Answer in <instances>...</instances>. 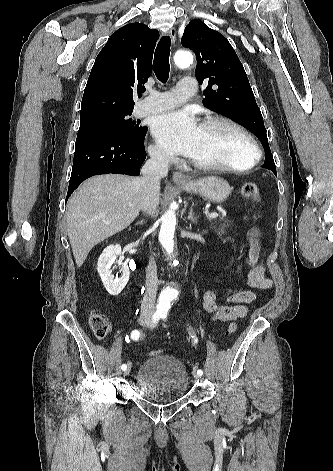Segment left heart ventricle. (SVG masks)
Returning a JSON list of instances; mask_svg holds the SVG:
<instances>
[{
	"instance_id": "1",
	"label": "left heart ventricle",
	"mask_w": 333,
	"mask_h": 471,
	"mask_svg": "<svg viewBox=\"0 0 333 471\" xmlns=\"http://www.w3.org/2000/svg\"><path fill=\"white\" fill-rule=\"evenodd\" d=\"M190 157L206 164L243 165L250 159L251 150L238 131L226 124L216 123L199 126Z\"/></svg>"
}]
</instances>
